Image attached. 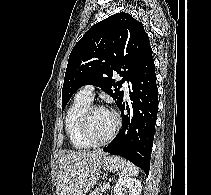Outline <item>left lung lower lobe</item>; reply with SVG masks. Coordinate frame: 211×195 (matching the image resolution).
<instances>
[{"label":"left lung lower lobe","mask_w":211,"mask_h":195,"mask_svg":"<svg viewBox=\"0 0 211 195\" xmlns=\"http://www.w3.org/2000/svg\"><path fill=\"white\" fill-rule=\"evenodd\" d=\"M129 97L132 101L118 106L123 126L103 151L122 156L149 174L154 130L158 111V88L154 60H149L131 80ZM127 114H124V110Z\"/></svg>","instance_id":"left-lung-lower-lobe-1"}]
</instances>
